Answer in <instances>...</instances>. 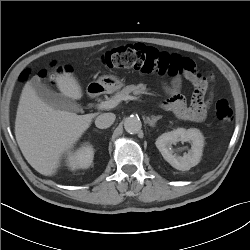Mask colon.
<instances>
[{"label": "colon", "mask_w": 250, "mask_h": 250, "mask_svg": "<svg viewBox=\"0 0 250 250\" xmlns=\"http://www.w3.org/2000/svg\"><path fill=\"white\" fill-rule=\"evenodd\" d=\"M105 68H129L143 73H158L170 77H179L194 73L198 76L192 95L193 102L206 99L210 87V78L196 70L192 61L176 53L160 51L143 44L122 45L105 52L100 60ZM27 71L20 75L21 80L27 78ZM53 78V77H52ZM218 121L227 126L233 120V110L226 99H219L214 106Z\"/></svg>", "instance_id": "1"}]
</instances>
